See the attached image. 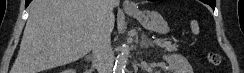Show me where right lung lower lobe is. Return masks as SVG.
Listing matches in <instances>:
<instances>
[{"mask_svg":"<svg viewBox=\"0 0 244 73\" xmlns=\"http://www.w3.org/2000/svg\"><path fill=\"white\" fill-rule=\"evenodd\" d=\"M32 0H26L25 6L27 7Z\"/></svg>","mask_w":244,"mask_h":73,"instance_id":"1","label":"right lung lower lobe"}]
</instances>
